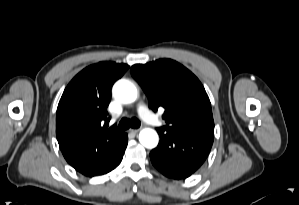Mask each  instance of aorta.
<instances>
[{
  "instance_id": "762f6f07",
  "label": "aorta",
  "mask_w": 299,
  "mask_h": 205,
  "mask_svg": "<svg viewBox=\"0 0 299 205\" xmlns=\"http://www.w3.org/2000/svg\"><path fill=\"white\" fill-rule=\"evenodd\" d=\"M113 95L122 103H132L137 99V89L133 83L122 79L114 84ZM139 141L144 147L152 149L157 146L159 137L155 130L145 128L139 133Z\"/></svg>"
}]
</instances>
